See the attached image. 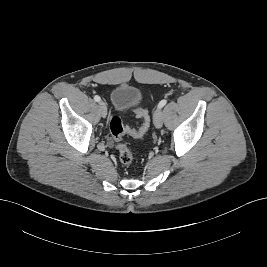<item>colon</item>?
I'll list each match as a JSON object with an SVG mask.
<instances>
[{
    "instance_id": "5ec220e1",
    "label": "colon",
    "mask_w": 267,
    "mask_h": 267,
    "mask_svg": "<svg viewBox=\"0 0 267 267\" xmlns=\"http://www.w3.org/2000/svg\"><path fill=\"white\" fill-rule=\"evenodd\" d=\"M134 111L136 116L141 120V125L137 129L125 127L121 119L117 116L112 117L109 121L110 134L118 150L119 159L124 165H130L133 162L134 155L132 150L122 142L123 137L129 135L134 138H141L147 133L150 127L148 111L138 107Z\"/></svg>"
}]
</instances>
